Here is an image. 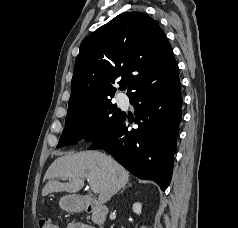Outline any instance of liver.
Here are the masks:
<instances>
[{
    "instance_id": "6515ba94",
    "label": "liver",
    "mask_w": 238,
    "mask_h": 228,
    "mask_svg": "<svg viewBox=\"0 0 238 228\" xmlns=\"http://www.w3.org/2000/svg\"><path fill=\"white\" fill-rule=\"evenodd\" d=\"M68 180L62 183L59 180ZM87 179L98 190V201L106 203L129 181V173L114 159L99 151H83L58 157L48 168L42 196L53 192L76 193Z\"/></svg>"
}]
</instances>
